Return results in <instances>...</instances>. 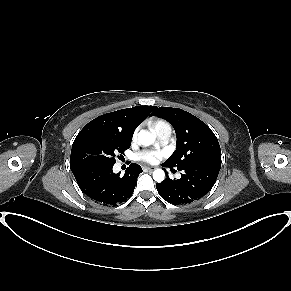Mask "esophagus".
Segmentation results:
<instances>
[{"mask_svg":"<svg viewBox=\"0 0 291 291\" xmlns=\"http://www.w3.org/2000/svg\"><path fill=\"white\" fill-rule=\"evenodd\" d=\"M143 170L144 171H150V172H152L153 170H155V167H152V166H143Z\"/></svg>","mask_w":291,"mask_h":291,"instance_id":"esophagus-1","label":"esophagus"}]
</instances>
